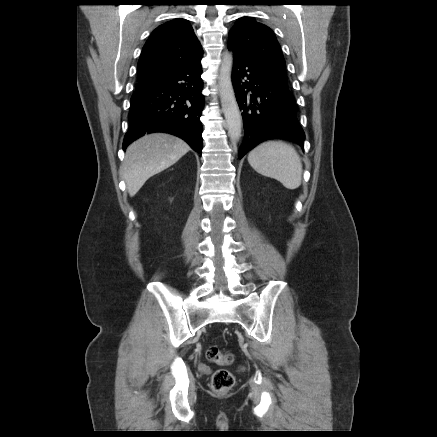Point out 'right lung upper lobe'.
I'll list each match as a JSON object with an SVG mask.
<instances>
[{"mask_svg":"<svg viewBox=\"0 0 437 437\" xmlns=\"http://www.w3.org/2000/svg\"><path fill=\"white\" fill-rule=\"evenodd\" d=\"M203 50L191 25L174 19L157 27L143 47L138 62V83H149L170 71L202 58Z\"/></svg>","mask_w":437,"mask_h":437,"instance_id":"obj_1","label":"right lung upper lobe"}]
</instances>
